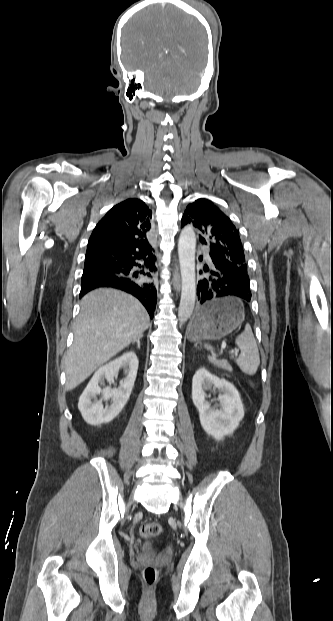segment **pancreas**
I'll return each instance as SVG.
<instances>
[{"mask_svg":"<svg viewBox=\"0 0 333 621\" xmlns=\"http://www.w3.org/2000/svg\"><path fill=\"white\" fill-rule=\"evenodd\" d=\"M209 361L218 368H222L228 372H232V367L226 359H218L215 356L209 357Z\"/></svg>","mask_w":333,"mask_h":621,"instance_id":"1","label":"pancreas"}]
</instances>
